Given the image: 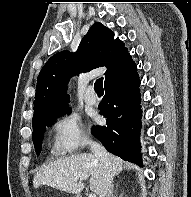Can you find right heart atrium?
Instances as JSON below:
<instances>
[{
	"instance_id": "right-heart-atrium-1",
	"label": "right heart atrium",
	"mask_w": 191,
	"mask_h": 197,
	"mask_svg": "<svg viewBox=\"0 0 191 197\" xmlns=\"http://www.w3.org/2000/svg\"><path fill=\"white\" fill-rule=\"evenodd\" d=\"M52 151L57 156H64L83 148L88 143V135L80 117L68 113L59 117L53 124Z\"/></svg>"
}]
</instances>
